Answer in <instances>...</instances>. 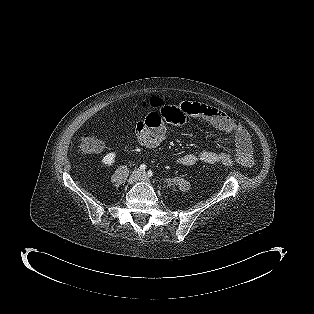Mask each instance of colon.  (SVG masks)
I'll list each match as a JSON object with an SVG mask.
<instances>
[{"mask_svg":"<svg viewBox=\"0 0 314 314\" xmlns=\"http://www.w3.org/2000/svg\"><path fill=\"white\" fill-rule=\"evenodd\" d=\"M145 105H149L152 108L158 109L165 105L164 101L159 97H153ZM153 118V113H149L148 121L151 123ZM180 123L178 125H181ZM102 147L101 140L98 134L94 130H86L82 133L79 141V150L84 154H93L98 152ZM221 163L226 167L234 166V160L230 156H224L221 158Z\"/></svg>","mask_w":314,"mask_h":314,"instance_id":"obj_1","label":"colon"}]
</instances>
